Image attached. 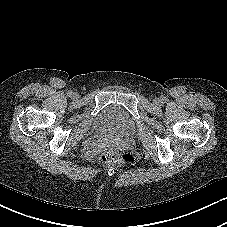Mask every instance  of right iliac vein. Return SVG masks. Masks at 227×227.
Returning a JSON list of instances; mask_svg holds the SVG:
<instances>
[{"label":"right iliac vein","instance_id":"63e3f726","mask_svg":"<svg viewBox=\"0 0 227 227\" xmlns=\"http://www.w3.org/2000/svg\"><path fill=\"white\" fill-rule=\"evenodd\" d=\"M72 98H73V99L79 98V94H78V93H74V94L72 95Z\"/></svg>","mask_w":227,"mask_h":227}]
</instances>
